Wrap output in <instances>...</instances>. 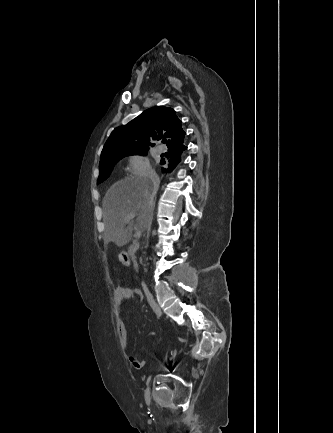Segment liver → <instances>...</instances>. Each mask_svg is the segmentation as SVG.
Here are the masks:
<instances>
[{
    "label": "liver",
    "mask_w": 333,
    "mask_h": 433,
    "mask_svg": "<svg viewBox=\"0 0 333 433\" xmlns=\"http://www.w3.org/2000/svg\"><path fill=\"white\" fill-rule=\"evenodd\" d=\"M102 206L104 243L123 247L130 242L135 229L143 232L147 226L154 209L152 184L142 177L117 181L107 190ZM129 213L137 214L136 223L125 221Z\"/></svg>",
    "instance_id": "6515ba94"
}]
</instances>
